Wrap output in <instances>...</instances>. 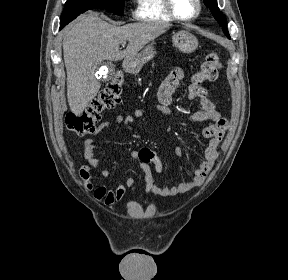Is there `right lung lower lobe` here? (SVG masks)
<instances>
[{
  "instance_id": "obj_1",
  "label": "right lung lower lobe",
  "mask_w": 288,
  "mask_h": 280,
  "mask_svg": "<svg viewBox=\"0 0 288 280\" xmlns=\"http://www.w3.org/2000/svg\"><path fill=\"white\" fill-rule=\"evenodd\" d=\"M80 15V14H79ZM78 15H74L66 20L60 21V29H62L65 25H67L70 21H72L73 19H75Z\"/></svg>"
}]
</instances>
